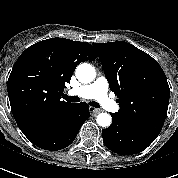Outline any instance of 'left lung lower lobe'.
I'll use <instances>...</instances> for the list:
<instances>
[{
  "label": "left lung lower lobe",
  "mask_w": 178,
  "mask_h": 178,
  "mask_svg": "<svg viewBox=\"0 0 178 178\" xmlns=\"http://www.w3.org/2000/svg\"><path fill=\"white\" fill-rule=\"evenodd\" d=\"M112 116L110 127L102 131L104 143L111 151L121 155H132L145 150L157 136Z\"/></svg>",
  "instance_id": "1"
}]
</instances>
